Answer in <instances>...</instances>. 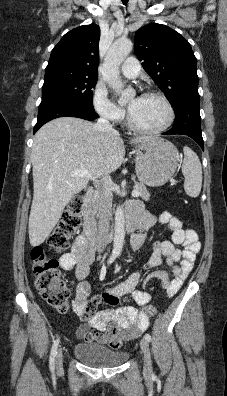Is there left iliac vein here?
<instances>
[{
    "label": "left iliac vein",
    "mask_w": 227,
    "mask_h": 396,
    "mask_svg": "<svg viewBox=\"0 0 227 396\" xmlns=\"http://www.w3.org/2000/svg\"><path fill=\"white\" fill-rule=\"evenodd\" d=\"M140 347L144 355V372L148 373L151 370V356L148 341L143 338L140 341Z\"/></svg>",
    "instance_id": "1"
}]
</instances>
